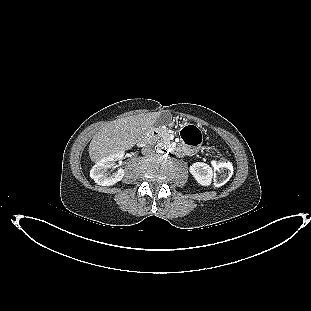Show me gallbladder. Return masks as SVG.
<instances>
[{"label":"gallbladder","mask_w":311,"mask_h":311,"mask_svg":"<svg viewBox=\"0 0 311 311\" xmlns=\"http://www.w3.org/2000/svg\"><path fill=\"white\" fill-rule=\"evenodd\" d=\"M172 115L169 111H162L157 119V124L168 125L171 122Z\"/></svg>","instance_id":"1"}]
</instances>
